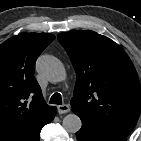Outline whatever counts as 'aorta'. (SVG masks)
Returning <instances> with one entry per match:
<instances>
[{
    "label": "aorta",
    "instance_id": "obj_1",
    "mask_svg": "<svg viewBox=\"0 0 141 141\" xmlns=\"http://www.w3.org/2000/svg\"><path fill=\"white\" fill-rule=\"evenodd\" d=\"M37 71L48 81L62 82L66 79L63 63L52 55H41L36 62ZM63 128L69 133H76L81 129V119L74 113L68 114L62 121Z\"/></svg>",
    "mask_w": 141,
    "mask_h": 141
}]
</instances>
